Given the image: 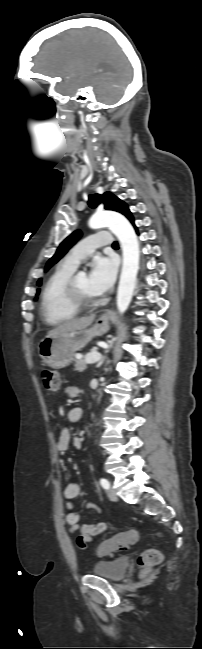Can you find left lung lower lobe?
Masks as SVG:
<instances>
[{
    "instance_id": "obj_1",
    "label": "left lung lower lobe",
    "mask_w": 202,
    "mask_h": 649,
    "mask_svg": "<svg viewBox=\"0 0 202 649\" xmlns=\"http://www.w3.org/2000/svg\"><path fill=\"white\" fill-rule=\"evenodd\" d=\"M128 219H129V221L134 225L135 229L137 230V227H136L135 224H134L133 216L131 215Z\"/></svg>"
}]
</instances>
